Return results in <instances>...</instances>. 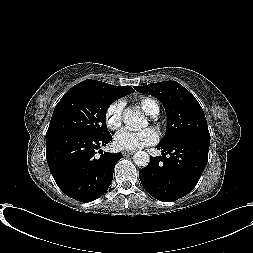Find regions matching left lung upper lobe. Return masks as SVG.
Returning a JSON list of instances; mask_svg holds the SVG:
<instances>
[{
	"label": "left lung upper lobe",
	"instance_id": "left-lung-upper-lobe-1",
	"mask_svg": "<svg viewBox=\"0 0 253 253\" xmlns=\"http://www.w3.org/2000/svg\"><path fill=\"white\" fill-rule=\"evenodd\" d=\"M136 91L156 97L165 107L167 129L160 144L183 136L210 139L204 112L196 98L176 81L135 86Z\"/></svg>",
	"mask_w": 253,
	"mask_h": 253
}]
</instances>
